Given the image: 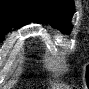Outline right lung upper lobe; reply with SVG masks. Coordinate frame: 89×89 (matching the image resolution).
I'll return each mask as SVG.
<instances>
[{
	"mask_svg": "<svg viewBox=\"0 0 89 89\" xmlns=\"http://www.w3.org/2000/svg\"><path fill=\"white\" fill-rule=\"evenodd\" d=\"M31 20V0H0V26L19 28Z\"/></svg>",
	"mask_w": 89,
	"mask_h": 89,
	"instance_id": "1",
	"label": "right lung upper lobe"
}]
</instances>
